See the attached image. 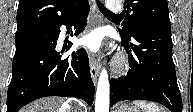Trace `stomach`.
I'll use <instances>...</instances> for the list:
<instances>
[{"label":"stomach","instance_id":"1","mask_svg":"<svg viewBox=\"0 0 193 112\" xmlns=\"http://www.w3.org/2000/svg\"><path fill=\"white\" fill-rule=\"evenodd\" d=\"M116 112H140L139 109L135 106H131L128 104L120 106Z\"/></svg>","mask_w":193,"mask_h":112}]
</instances>
